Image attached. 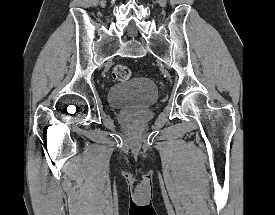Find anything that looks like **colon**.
<instances>
[{
    "instance_id": "5ec220e1",
    "label": "colon",
    "mask_w": 275,
    "mask_h": 215,
    "mask_svg": "<svg viewBox=\"0 0 275 215\" xmlns=\"http://www.w3.org/2000/svg\"><path fill=\"white\" fill-rule=\"evenodd\" d=\"M131 71L128 67L123 65H116L112 70V78L115 81L123 82L129 80Z\"/></svg>"
}]
</instances>
